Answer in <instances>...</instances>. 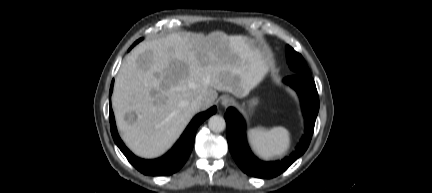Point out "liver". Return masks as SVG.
<instances>
[{"label": "liver", "instance_id": "obj_1", "mask_svg": "<svg viewBox=\"0 0 432 193\" xmlns=\"http://www.w3.org/2000/svg\"><path fill=\"white\" fill-rule=\"evenodd\" d=\"M269 58L254 39L214 31L175 32L140 43L115 79L112 107L126 146L142 158L166 152L196 114L226 91L245 97L268 72ZM198 110V111H199ZM134 112L136 120L125 119Z\"/></svg>", "mask_w": 432, "mask_h": 193}]
</instances>
